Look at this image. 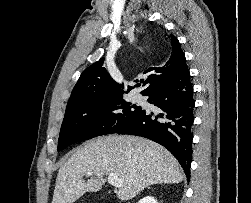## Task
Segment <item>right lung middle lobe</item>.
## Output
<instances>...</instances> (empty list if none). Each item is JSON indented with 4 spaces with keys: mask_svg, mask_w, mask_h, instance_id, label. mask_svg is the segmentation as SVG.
<instances>
[{
    "mask_svg": "<svg viewBox=\"0 0 251 203\" xmlns=\"http://www.w3.org/2000/svg\"><path fill=\"white\" fill-rule=\"evenodd\" d=\"M141 110L122 97L69 104L58 139V151L78 141L115 133Z\"/></svg>",
    "mask_w": 251,
    "mask_h": 203,
    "instance_id": "dd1d6c3e",
    "label": "right lung middle lobe"
}]
</instances>
